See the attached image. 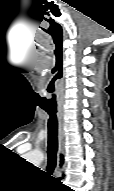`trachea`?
<instances>
[{"label": "trachea", "instance_id": "1", "mask_svg": "<svg viewBox=\"0 0 114 191\" xmlns=\"http://www.w3.org/2000/svg\"><path fill=\"white\" fill-rule=\"evenodd\" d=\"M50 116L48 119V162L47 171L52 174L56 167L57 151H58V121L54 108H43Z\"/></svg>", "mask_w": 114, "mask_h": 191}]
</instances>
